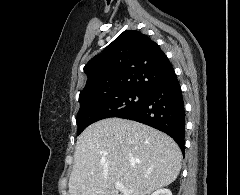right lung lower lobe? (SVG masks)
I'll use <instances>...</instances> for the list:
<instances>
[{
  "label": "right lung lower lobe",
  "instance_id": "obj_1",
  "mask_svg": "<svg viewBox=\"0 0 240 195\" xmlns=\"http://www.w3.org/2000/svg\"><path fill=\"white\" fill-rule=\"evenodd\" d=\"M117 117L138 121L168 134L184 153V100L175 73L152 86L142 103Z\"/></svg>",
  "mask_w": 240,
  "mask_h": 195
}]
</instances>
